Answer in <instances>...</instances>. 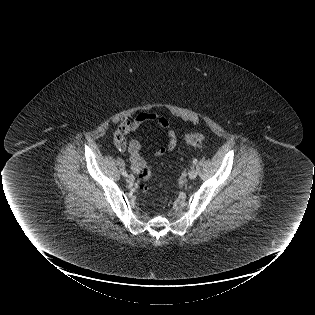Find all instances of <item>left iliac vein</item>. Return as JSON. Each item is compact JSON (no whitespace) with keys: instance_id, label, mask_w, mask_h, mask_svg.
I'll return each instance as SVG.
<instances>
[{"instance_id":"4c4485c4","label":"left iliac vein","mask_w":315,"mask_h":315,"mask_svg":"<svg viewBox=\"0 0 315 315\" xmlns=\"http://www.w3.org/2000/svg\"><path fill=\"white\" fill-rule=\"evenodd\" d=\"M196 176H197V170L195 168H192L188 173V177L190 179H195Z\"/></svg>"}]
</instances>
